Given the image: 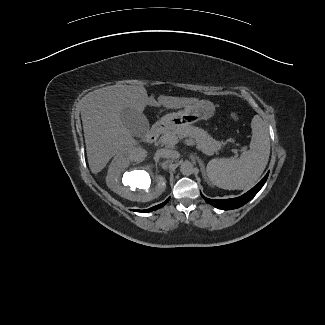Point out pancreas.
<instances>
[{"label": "pancreas", "mask_w": 325, "mask_h": 325, "mask_svg": "<svg viewBox=\"0 0 325 325\" xmlns=\"http://www.w3.org/2000/svg\"><path fill=\"white\" fill-rule=\"evenodd\" d=\"M170 137H179L180 139L190 137L193 139L198 149H206L210 153H216L222 146V142L214 140L206 131L195 126L183 124L178 127H171L166 130L161 136V141L167 145L172 146L167 142Z\"/></svg>", "instance_id": "cf45deb5"}]
</instances>
